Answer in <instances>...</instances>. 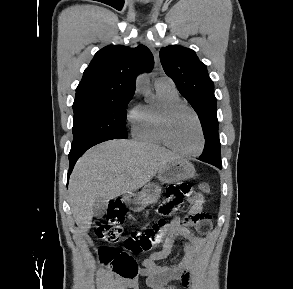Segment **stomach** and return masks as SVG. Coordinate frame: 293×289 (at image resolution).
<instances>
[{"label":"stomach","mask_w":293,"mask_h":289,"mask_svg":"<svg viewBox=\"0 0 293 289\" xmlns=\"http://www.w3.org/2000/svg\"><path fill=\"white\" fill-rule=\"evenodd\" d=\"M194 176L195 168L193 164L182 158L167 163L158 172L159 181L167 184L191 179ZM160 195L161 187L154 183H148L138 195L133 198L129 196L127 201L135 212H139L146 206L156 203Z\"/></svg>","instance_id":"0dacf381"}]
</instances>
